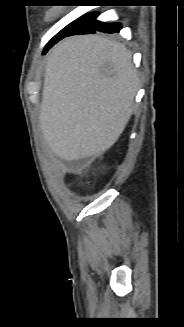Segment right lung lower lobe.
Returning <instances> with one entry per match:
<instances>
[{"instance_id": "1", "label": "right lung lower lobe", "mask_w": 184, "mask_h": 327, "mask_svg": "<svg viewBox=\"0 0 184 327\" xmlns=\"http://www.w3.org/2000/svg\"><path fill=\"white\" fill-rule=\"evenodd\" d=\"M98 13L92 12L85 15L82 20L66 35L63 36H71L77 34H87V33H95L96 31L104 32V33H117L121 29L120 23H106L97 20ZM61 40V39H60ZM45 53V52H44Z\"/></svg>"}]
</instances>
